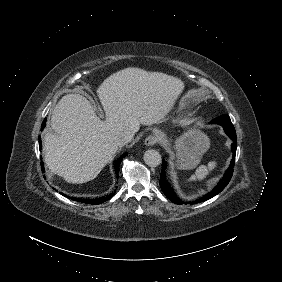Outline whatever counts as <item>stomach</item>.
Returning <instances> with one entry per match:
<instances>
[{
	"label": "stomach",
	"mask_w": 282,
	"mask_h": 282,
	"mask_svg": "<svg viewBox=\"0 0 282 282\" xmlns=\"http://www.w3.org/2000/svg\"><path fill=\"white\" fill-rule=\"evenodd\" d=\"M171 144L174 159L172 166L176 170L186 171L195 169L201 163L211 147V139L204 131L188 127Z\"/></svg>",
	"instance_id": "1"
}]
</instances>
